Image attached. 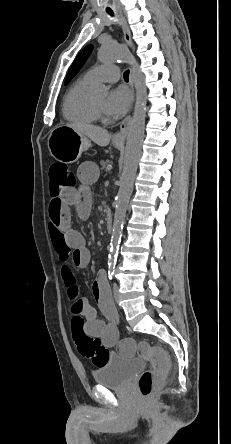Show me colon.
<instances>
[{
  "mask_svg": "<svg viewBox=\"0 0 231 444\" xmlns=\"http://www.w3.org/2000/svg\"><path fill=\"white\" fill-rule=\"evenodd\" d=\"M51 199L58 200L66 188L75 185L71 170L62 163H54L49 168ZM72 337L78 352L89 359L95 366L101 367L108 359L109 351L100 341L87 335L84 331V318L74 314L72 318ZM122 347L135 351L150 363V369L145 370L138 379V388L142 396H150L160 387L169 370L170 362L166 352L157 346L144 341L125 339Z\"/></svg>",
  "mask_w": 231,
  "mask_h": 444,
  "instance_id": "obj_1",
  "label": "colon"
}]
</instances>
